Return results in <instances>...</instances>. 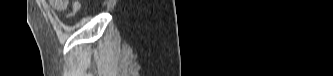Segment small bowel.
I'll list each match as a JSON object with an SVG mask.
<instances>
[{"label": "small bowel", "instance_id": "c3829d8e", "mask_svg": "<svg viewBox=\"0 0 333 76\" xmlns=\"http://www.w3.org/2000/svg\"><path fill=\"white\" fill-rule=\"evenodd\" d=\"M49 5L56 11H69L66 14V18H73L80 10L81 3L77 0H49Z\"/></svg>", "mask_w": 333, "mask_h": 76}]
</instances>
